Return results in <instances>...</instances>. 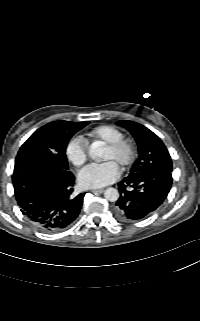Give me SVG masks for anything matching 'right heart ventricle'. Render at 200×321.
Wrapping results in <instances>:
<instances>
[{
	"instance_id": "e07e8e85",
	"label": "right heart ventricle",
	"mask_w": 200,
	"mask_h": 321,
	"mask_svg": "<svg viewBox=\"0 0 200 321\" xmlns=\"http://www.w3.org/2000/svg\"><path fill=\"white\" fill-rule=\"evenodd\" d=\"M91 140H101L105 143H111L123 137L121 130L112 125H101L94 128L90 133Z\"/></svg>"
}]
</instances>
